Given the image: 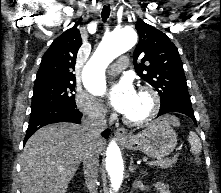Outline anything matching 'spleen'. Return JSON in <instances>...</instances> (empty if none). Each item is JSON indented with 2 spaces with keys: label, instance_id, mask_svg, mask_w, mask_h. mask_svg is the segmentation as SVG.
I'll list each match as a JSON object with an SVG mask.
<instances>
[{
  "label": "spleen",
  "instance_id": "1",
  "mask_svg": "<svg viewBox=\"0 0 221 193\" xmlns=\"http://www.w3.org/2000/svg\"><path fill=\"white\" fill-rule=\"evenodd\" d=\"M188 141L191 145V152L194 154H199L201 152L202 145L199 137L195 132H189Z\"/></svg>",
  "mask_w": 221,
  "mask_h": 193
}]
</instances>
